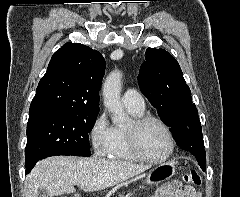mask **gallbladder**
Wrapping results in <instances>:
<instances>
[{
    "mask_svg": "<svg viewBox=\"0 0 240 197\" xmlns=\"http://www.w3.org/2000/svg\"><path fill=\"white\" fill-rule=\"evenodd\" d=\"M36 197H50L45 189H38L36 192Z\"/></svg>",
    "mask_w": 240,
    "mask_h": 197,
    "instance_id": "bac80fb5",
    "label": "gallbladder"
}]
</instances>
